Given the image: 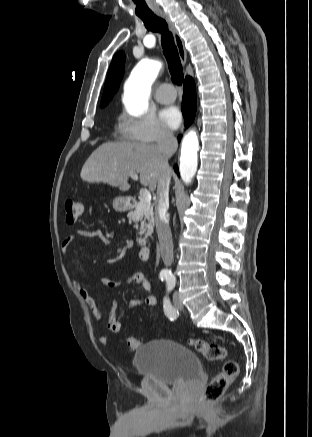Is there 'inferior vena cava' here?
I'll return each instance as SVG.
<instances>
[{
    "mask_svg": "<svg viewBox=\"0 0 312 437\" xmlns=\"http://www.w3.org/2000/svg\"><path fill=\"white\" fill-rule=\"evenodd\" d=\"M176 149L177 140L173 133L167 129L161 130L157 142V150L159 152L162 172L157 186L158 202L155 208V223L161 257L166 266H170L174 260L173 241L167 210L169 208V184L171 178L168 160Z\"/></svg>",
    "mask_w": 312,
    "mask_h": 437,
    "instance_id": "1",
    "label": "inferior vena cava"
}]
</instances>
